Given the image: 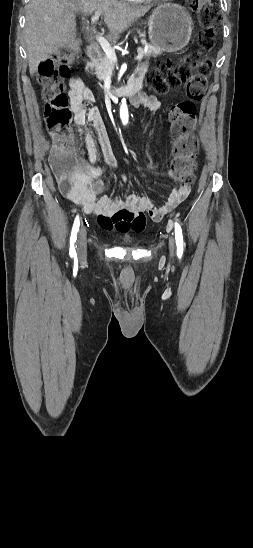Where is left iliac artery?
Wrapping results in <instances>:
<instances>
[{
  "instance_id": "44dca946",
  "label": "left iliac artery",
  "mask_w": 253,
  "mask_h": 548,
  "mask_svg": "<svg viewBox=\"0 0 253 548\" xmlns=\"http://www.w3.org/2000/svg\"><path fill=\"white\" fill-rule=\"evenodd\" d=\"M175 239L177 245V255L178 257H181L183 254V235L182 229L177 222L175 223Z\"/></svg>"
}]
</instances>
